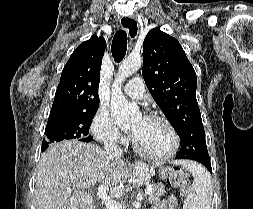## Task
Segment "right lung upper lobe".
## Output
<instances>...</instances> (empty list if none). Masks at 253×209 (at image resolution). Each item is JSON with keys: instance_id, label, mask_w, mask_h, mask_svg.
Wrapping results in <instances>:
<instances>
[{"instance_id": "cb5924a9", "label": "right lung upper lobe", "mask_w": 253, "mask_h": 209, "mask_svg": "<svg viewBox=\"0 0 253 209\" xmlns=\"http://www.w3.org/2000/svg\"><path fill=\"white\" fill-rule=\"evenodd\" d=\"M104 52L105 39L96 35L75 49L62 71L49 117L99 106L98 86Z\"/></svg>"}]
</instances>
